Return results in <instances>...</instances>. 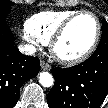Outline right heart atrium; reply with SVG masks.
<instances>
[{"mask_svg": "<svg viewBox=\"0 0 108 108\" xmlns=\"http://www.w3.org/2000/svg\"><path fill=\"white\" fill-rule=\"evenodd\" d=\"M23 38L30 44H32L33 46H39L41 44V42L34 37L28 30L27 28L24 29L23 31Z\"/></svg>", "mask_w": 108, "mask_h": 108, "instance_id": "right-heart-atrium-1", "label": "right heart atrium"}]
</instances>
